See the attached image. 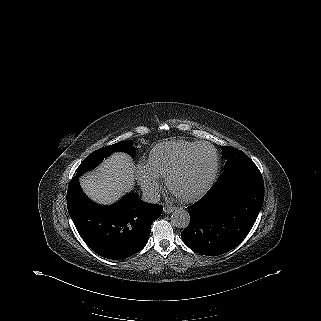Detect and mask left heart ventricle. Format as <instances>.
<instances>
[{"mask_svg": "<svg viewBox=\"0 0 321 321\" xmlns=\"http://www.w3.org/2000/svg\"><path fill=\"white\" fill-rule=\"evenodd\" d=\"M214 154L209 147L199 148L187 167L172 180V190L182 196L200 190L210 179L214 169Z\"/></svg>", "mask_w": 321, "mask_h": 321, "instance_id": "1", "label": "left heart ventricle"}]
</instances>
